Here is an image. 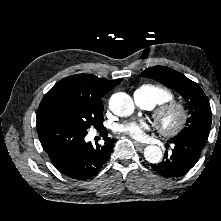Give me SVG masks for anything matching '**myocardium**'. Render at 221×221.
Masks as SVG:
<instances>
[{"mask_svg":"<svg viewBox=\"0 0 221 221\" xmlns=\"http://www.w3.org/2000/svg\"><path fill=\"white\" fill-rule=\"evenodd\" d=\"M153 117L159 133L165 137H172L184 128L188 112L182 103L172 101L156 108Z\"/></svg>","mask_w":221,"mask_h":221,"instance_id":"obj_1","label":"myocardium"}]
</instances>
